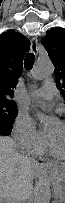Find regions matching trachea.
Masks as SVG:
<instances>
[{"instance_id": "trachea-1", "label": "trachea", "mask_w": 65, "mask_h": 203, "mask_svg": "<svg viewBox=\"0 0 65 203\" xmlns=\"http://www.w3.org/2000/svg\"><path fill=\"white\" fill-rule=\"evenodd\" d=\"M34 61H35V56L33 53L26 54L25 59H24V67L27 70H31L34 65Z\"/></svg>"}]
</instances>
